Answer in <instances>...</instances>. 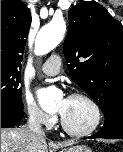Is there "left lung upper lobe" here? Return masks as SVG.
<instances>
[{
  "label": "left lung upper lobe",
  "mask_w": 123,
  "mask_h": 152,
  "mask_svg": "<svg viewBox=\"0 0 123 152\" xmlns=\"http://www.w3.org/2000/svg\"><path fill=\"white\" fill-rule=\"evenodd\" d=\"M64 55L72 80L107 115L123 106V26L95 1H83L68 13Z\"/></svg>",
  "instance_id": "5c2ea615"
}]
</instances>
